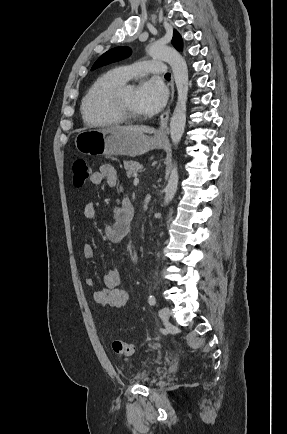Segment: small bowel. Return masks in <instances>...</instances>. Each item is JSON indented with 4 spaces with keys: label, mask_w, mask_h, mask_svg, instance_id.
I'll list each match as a JSON object with an SVG mask.
<instances>
[{
    "label": "small bowel",
    "mask_w": 287,
    "mask_h": 434,
    "mask_svg": "<svg viewBox=\"0 0 287 434\" xmlns=\"http://www.w3.org/2000/svg\"><path fill=\"white\" fill-rule=\"evenodd\" d=\"M90 182L95 185L106 183L108 186L114 187L118 182L116 169L110 164H103L99 169L91 174ZM130 203L129 199H122L119 205L113 208L114 222L105 226L104 234L106 239L111 243L122 242L129 233L130 224L126 217V204ZM83 215L87 219H92L96 215V204L92 201L85 204ZM82 253L85 258L94 257V248L90 243H84ZM122 277L119 270L115 267L106 269L102 276L103 288L93 291V301L103 307L121 308L129 300L127 291L119 289ZM86 287L94 286V279L90 275H86L83 279Z\"/></svg>",
    "instance_id": "small-bowel-1"
}]
</instances>
